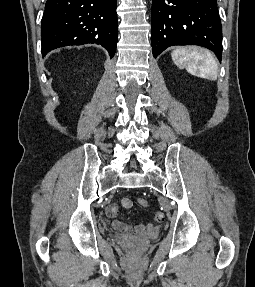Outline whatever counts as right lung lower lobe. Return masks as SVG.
Segmentation results:
<instances>
[{
  "mask_svg": "<svg viewBox=\"0 0 255 287\" xmlns=\"http://www.w3.org/2000/svg\"><path fill=\"white\" fill-rule=\"evenodd\" d=\"M117 0H47L41 23L42 55L70 45L96 43L116 51Z\"/></svg>",
  "mask_w": 255,
  "mask_h": 287,
  "instance_id": "right-lung-lower-lobe-1",
  "label": "right lung lower lobe"
}]
</instances>
